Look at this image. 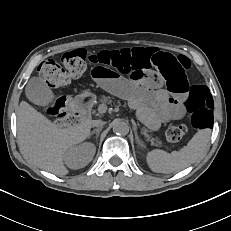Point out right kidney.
<instances>
[{
	"label": "right kidney",
	"mask_w": 231,
	"mask_h": 231,
	"mask_svg": "<svg viewBox=\"0 0 231 231\" xmlns=\"http://www.w3.org/2000/svg\"><path fill=\"white\" fill-rule=\"evenodd\" d=\"M95 146L91 143H83L70 149L65 156V164L71 169L85 167L93 159Z\"/></svg>",
	"instance_id": "right-kidney-1"
}]
</instances>
